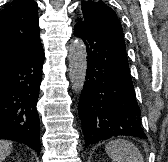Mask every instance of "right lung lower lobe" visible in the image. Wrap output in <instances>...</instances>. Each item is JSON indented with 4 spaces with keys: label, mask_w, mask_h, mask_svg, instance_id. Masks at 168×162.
I'll use <instances>...</instances> for the list:
<instances>
[{
    "label": "right lung lower lobe",
    "mask_w": 168,
    "mask_h": 162,
    "mask_svg": "<svg viewBox=\"0 0 168 162\" xmlns=\"http://www.w3.org/2000/svg\"><path fill=\"white\" fill-rule=\"evenodd\" d=\"M44 51L0 69V139L24 143L40 153L36 104Z\"/></svg>",
    "instance_id": "1"
}]
</instances>
